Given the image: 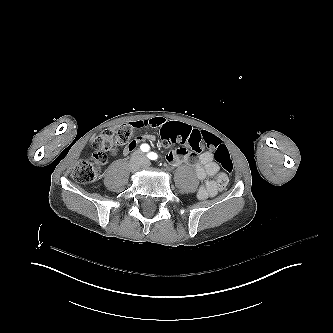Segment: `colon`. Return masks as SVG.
<instances>
[{
	"label": "colon",
	"instance_id": "1",
	"mask_svg": "<svg viewBox=\"0 0 333 333\" xmlns=\"http://www.w3.org/2000/svg\"><path fill=\"white\" fill-rule=\"evenodd\" d=\"M160 136L167 143H176L190 146L194 151L201 152V144L214 147V158L225 174L222 184H227V176L232 173L234 164L226 145L214 134L202 133L190 123L166 122L160 129ZM133 127L128 123L117 125L104 130L92 144L95 153L90 158L75 163L72 169V178L79 183H88L96 180L102 173L106 161L105 154L109 152L116 155V147L133 146L135 142Z\"/></svg>",
	"mask_w": 333,
	"mask_h": 333
}]
</instances>
